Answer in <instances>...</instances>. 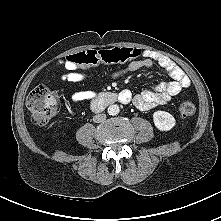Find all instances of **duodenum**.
<instances>
[{
  "label": "duodenum",
  "instance_id": "obj_1",
  "mask_svg": "<svg viewBox=\"0 0 221 221\" xmlns=\"http://www.w3.org/2000/svg\"><path fill=\"white\" fill-rule=\"evenodd\" d=\"M128 101L129 97L126 95H119L115 92H106L93 101L92 109L95 112H100L108 105L116 102L128 103Z\"/></svg>",
  "mask_w": 221,
  "mask_h": 221
}]
</instances>
